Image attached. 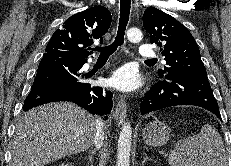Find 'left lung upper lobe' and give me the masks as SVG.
Masks as SVG:
<instances>
[{
  "label": "left lung upper lobe",
  "instance_id": "left-lung-upper-lobe-1",
  "mask_svg": "<svg viewBox=\"0 0 231 166\" xmlns=\"http://www.w3.org/2000/svg\"><path fill=\"white\" fill-rule=\"evenodd\" d=\"M143 27L165 56L167 66L158 70L159 77L166 73L207 75L196 41L174 17L149 7L143 14Z\"/></svg>",
  "mask_w": 231,
  "mask_h": 166
}]
</instances>
